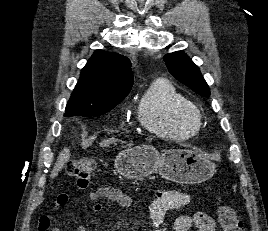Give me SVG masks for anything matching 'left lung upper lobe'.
Returning <instances> with one entry per match:
<instances>
[{
    "mask_svg": "<svg viewBox=\"0 0 268 231\" xmlns=\"http://www.w3.org/2000/svg\"><path fill=\"white\" fill-rule=\"evenodd\" d=\"M169 72L180 82L201 96L209 97L210 91L199 68L183 52L177 51L164 56Z\"/></svg>",
    "mask_w": 268,
    "mask_h": 231,
    "instance_id": "left-lung-upper-lobe-1",
    "label": "left lung upper lobe"
}]
</instances>
